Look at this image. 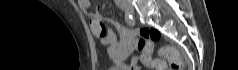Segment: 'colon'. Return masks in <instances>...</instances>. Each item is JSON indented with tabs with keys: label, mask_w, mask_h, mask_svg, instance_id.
I'll return each mask as SVG.
<instances>
[{
	"label": "colon",
	"mask_w": 238,
	"mask_h": 70,
	"mask_svg": "<svg viewBox=\"0 0 238 70\" xmlns=\"http://www.w3.org/2000/svg\"><path fill=\"white\" fill-rule=\"evenodd\" d=\"M160 38V33L153 28H143L140 30V47L143 50L148 62L147 65L156 70H165L167 63L171 70H182L183 61L179 52L172 46H162L158 54L160 58L151 59L153 43Z\"/></svg>",
	"instance_id": "obj_1"
}]
</instances>
